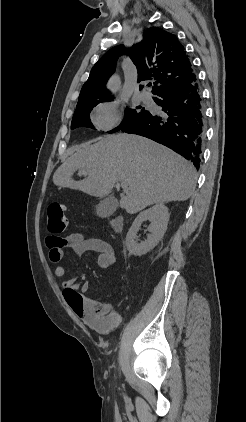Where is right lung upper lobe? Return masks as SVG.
Here are the masks:
<instances>
[{
	"mask_svg": "<svg viewBox=\"0 0 246 422\" xmlns=\"http://www.w3.org/2000/svg\"><path fill=\"white\" fill-rule=\"evenodd\" d=\"M143 41L125 51L122 45L107 51L93 66L84 83L76 107L103 99H110L105 84L115 70L117 58L127 53L138 71V82L155 79L153 94L181 84L196 81L191 62L176 35L160 28H149ZM143 86H140V89Z\"/></svg>",
	"mask_w": 246,
	"mask_h": 422,
	"instance_id": "1",
	"label": "right lung upper lobe"
}]
</instances>
